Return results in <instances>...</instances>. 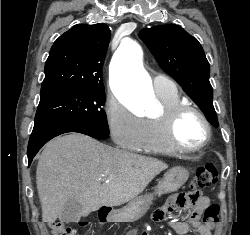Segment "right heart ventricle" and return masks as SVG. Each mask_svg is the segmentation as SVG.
Returning a JSON list of instances; mask_svg holds the SVG:
<instances>
[{
  "label": "right heart ventricle",
  "instance_id": "obj_1",
  "mask_svg": "<svg viewBox=\"0 0 250 235\" xmlns=\"http://www.w3.org/2000/svg\"><path fill=\"white\" fill-rule=\"evenodd\" d=\"M156 97L163 109L171 108L181 102L177 91L173 93H156ZM137 150L153 154H174L177 152L168 143L164 134V123L159 116L144 120V138Z\"/></svg>",
  "mask_w": 250,
  "mask_h": 235
}]
</instances>
